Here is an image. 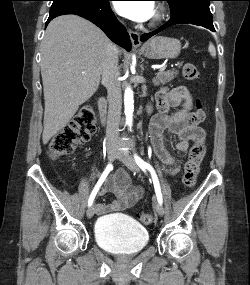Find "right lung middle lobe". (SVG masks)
Masks as SVG:
<instances>
[{
	"label": "right lung middle lobe",
	"instance_id": "right-lung-middle-lobe-1",
	"mask_svg": "<svg viewBox=\"0 0 250 285\" xmlns=\"http://www.w3.org/2000/svg\"><path fill=\"white\" fill-rule=\"evenodd\" d=\"M50 15L75 9V8H98L107 0H52Z\"/></svg>",
	"mask_w": 250,
	"mask_h": 285
}]
</instances>
